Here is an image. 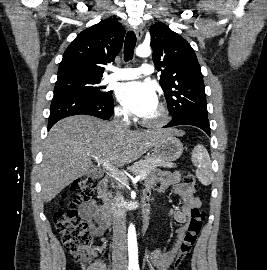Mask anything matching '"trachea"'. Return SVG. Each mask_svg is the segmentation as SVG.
Listing matches in <instances>:
<instances>
[{
    "instance_id": "trachea-1",
    "label": "trachea",
    "mask_w": 267,
    "mask_h": 270,
    "mask_svg": "<svg viewBox=\"0 0 267 270\" xmlns=\"http://www.w3.org/2000/svg\"><path fill=\"white\" fill-rule=\"evenodd\" d=\"M136 45V35L133 31H128L124 43V60L129 61L133 58Z\"/></svg>"
}]
</instances>
